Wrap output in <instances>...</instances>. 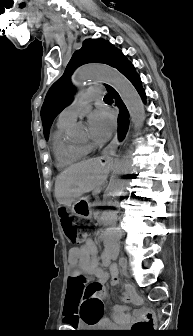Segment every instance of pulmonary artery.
I'll list each match as a JSON object with an SVG mask.
<instances>
[{"label":"pulmonary artery","instance_id":"pulmonary-artery-1","mask_svg":"<svg viewBox=\"0 0 193 336\" xmlns=\"http://www.w3.org/2000/svg\"><path fill=\"white\" fill-rule=\"evenodd\" d=\"M104 92L102 88L91 87L85 91L79 92L69 106H67L59 115L57 120V125H69L72 124L78 114L81 111V108L87 104L89 101L99 99L103 97Z\"/></svg>","mask_w":193,"mask_h":336}]
</instances>
